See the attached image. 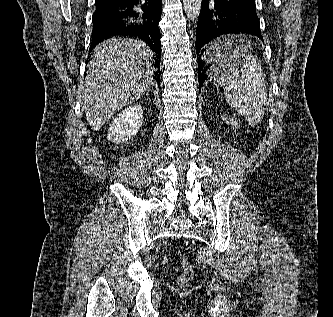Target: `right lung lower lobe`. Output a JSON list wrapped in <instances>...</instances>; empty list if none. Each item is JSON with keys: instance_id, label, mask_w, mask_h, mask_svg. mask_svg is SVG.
<instances>
[{"instance_id": "98d812e1", "label": "right lung lower lobe", "mask_w": 333, "mask_h": 317, "mask_svg": "<svg viewBox=\"0 0 333 317\" xmlns=\"http://www.w3.org/2000/svg\"><path fill=\"white\" fill-rule=\"evenodd\" d=\"M140 8H137V7ZM161 0H114L96 3L93 14L92 42L89 51L103 40L115 36H131L145 41L161 58ZM160 61H155L159 67ZM159 81V75L154 77Z\"/></svg>"}]
</instances>
